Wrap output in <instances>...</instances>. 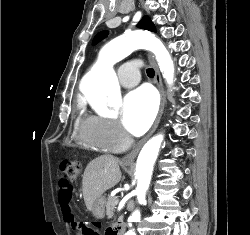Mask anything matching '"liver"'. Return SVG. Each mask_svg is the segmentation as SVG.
<instances>
[{"mask_svg":"<svg viewBox=\"0 0 250 235\" xmlns=\"http://www.w3.org/2000/svg\"><path fill=\"white\" fill-rule=\"evenodd\" d=\"M119 162V159L114 156L103 155L87 165L82 180V192L89 211H92L94 201L98 197L121 180Z\"/></svg>","mask_w":250,"mask_h":235,"instance_id":"6515ba94","label":"liver"}]
</instances>
